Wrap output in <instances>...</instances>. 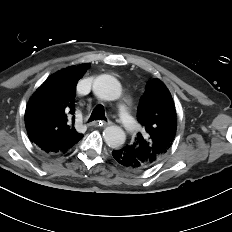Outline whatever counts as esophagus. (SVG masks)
<instances>
[{"mask_svg":"<svg viewBox=\"0 0 232 232\" xmlns=\"http://www.w3.org/2000/svg\"><path fill=\"white\" fill-rule=\"evenodd\" d=\"M112 124V122H110V121H94V122H92L90 125L91 126H102V127H106V126H109V125H111Z\"/></svg>","mask_w":232,"mask_h":232,"instance_id":"1","label":"esophagus"}]
</instances>
